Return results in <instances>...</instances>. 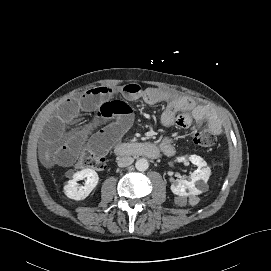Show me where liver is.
I'll use <instances>...</instances> for the list:
<instances>
[{
  "label": "liver",
  "instance_id": "1",
  "mask_svg": "<svg viewBox=\"0 0 271 271\" xmlns=\"http://www.w3.org/2000/svg\"><path fill=\"white\" fill-rule=\"evenodd\" d=\"M45 159L47 162H49V160H50V154L48 151H46V153H45Z\"/></svg>",
  "mask_w": 271,
  "mask_h": 271
}]
</instances>
